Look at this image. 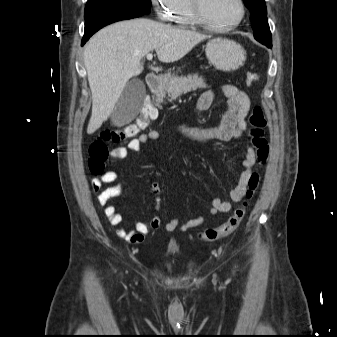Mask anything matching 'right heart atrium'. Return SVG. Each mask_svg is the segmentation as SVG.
Returning <instances> with one entry per match:
<instances>
[{"label": "right heart atrium", "mask_w": 337, "mask_h": 337, "mask_svg": "<svg viewBox=\"0 0 337 337\" xmlns=\"http://www.w3.org/2000/svg\"><path fill=\"white\" fill-rule=\"evenodd\" d=\"M179 0H151L156 14L163 21H171Z\"/></svg>", "instance_id": "d8ad5b80"}]
</instances>
